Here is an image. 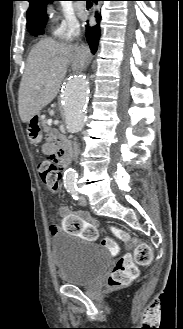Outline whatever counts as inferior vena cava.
Listing matches in <instances>:
<instances>
[{"mask_svg": "<svg viewBox=\"0 0 183 329\" xmlns=\"http://www.w3.org/2000/svg\"><path fill=\"white\" fill-rule=\"evenodd\" d=\"M76 60L79 62V64L84 68L89 60V50L86 47H79L77 49V58ZM73 158L76 159L78 155V146L77 143L74 142L73 145Z\"/></svg>", "mask_w": 183, "mask_h": 329, "instance_id": "602c4592", "label": "inferior vena cava"}]
</instances>
